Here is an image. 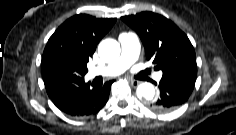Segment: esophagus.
Wrapping results in <instances>:
<instances>
[{
	"label": "esophagus",
	"instance_id": "obj_1",
	"mask_svg": "<svg viewBox=\"0 0 236 135\" xmlns=\"http://www.w3.org/2000/svg\"><path fill=\"white\" fill-rule=\"evenodd\" d=\"M128 81L133 87H137L140 84V81L135 80V79L129 78Z\"/></svg>",
	"mask_w": 236,
	"mask_h": 135
}]
</instances>
